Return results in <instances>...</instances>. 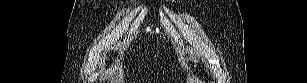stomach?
<instances>
[{
  "label": "stomach",
  "mask_w": 307,
  "mask_h": 83,
  "mask_svg": "<svg viewBox=\"0 0 307 83\" xmlns=\"http://www.w3.org/2000/svg\"><path fill=\"white\" fill-rule=\"evenodd\" d=\"M188 59L192 60V62L197 63L196 56H190Z\"/></svg>",
  "instance_id": "1"
}]
</instances>
